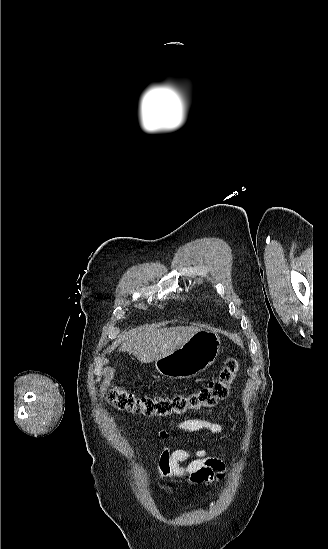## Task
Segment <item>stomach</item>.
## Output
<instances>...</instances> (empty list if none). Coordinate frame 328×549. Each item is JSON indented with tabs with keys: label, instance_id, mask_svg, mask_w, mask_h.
I'll return each mask as SVG.
<instances>
[{
	"label": "stomach",
	"instance_id": "stomach-1",
	"mask_svg": "<svg viewBox=\"0 0 328 549\" xmlns=\"http://www.w3.org/2000/svg\"><path fill=\"white\" fill-rule=\"evenodd\" d=\"M220 345L221 339L216 331L203 327L179 349L156 359L155 367L160 375L169 379H192L213 365Z\"/></svg>",
	"mask_w": 328,
	"mask_h": 549
}]
</instances>
